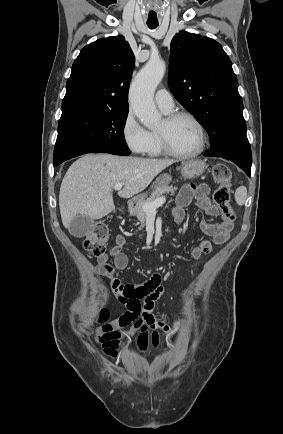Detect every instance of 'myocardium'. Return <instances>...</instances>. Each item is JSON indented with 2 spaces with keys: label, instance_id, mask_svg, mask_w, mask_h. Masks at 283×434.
<instances>
[{
  "label": "myocardium",
  "instance_id": "obj_1",
  "mask_svg": "<svg viewBox=\"0 0 283 434\" xmlns=\"http://www.w3.org/2000/svg\"><path fill=\"white\" fill-rule=\"evenodd\" d=\"M181 118H186V119L190 120L194 124V126L196 127L197 132H198V146H197V148L194 151L189 152V153L177 152L171 147V145L167 139L166 134L162 131H157V135H158L162 150L165 154L170 155V156L175 157V158H179V159H190V158L197 157L205 149V144H206L205 129H204L202 123L200 122V120L194 114H192L188 111H175V112L169 113L168 115H166L164 120L167 124H171V123H173L176 120L181 119Z\"/></svg>",
  "mask_w": 283,
  "mask_h": 434
}]
</instances>
